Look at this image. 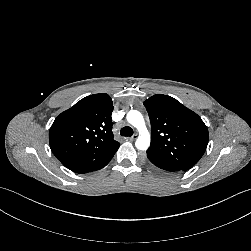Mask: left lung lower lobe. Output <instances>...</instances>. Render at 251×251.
Instances as JSON below:
<instances>
[{"instance_id": "left-lung-lower-lobe-1", "label": "left lung lower lobe", "mask_w": 251, "mask_h": 251, "mask_svg": "<svg viewBox=\"0 0 251 251\" xmlns=\"http://www.w3.org/2000/svg\"><path fill=\"white\" fill-rule=\"evenodd\" d=\"M147 164L151 169H153L159 173H162V174H173V173L183 171L180 168H178L177 166H174V165H171L168 163H164L161 161H157V160H147Z\"/></svg>"}]
</instances>
